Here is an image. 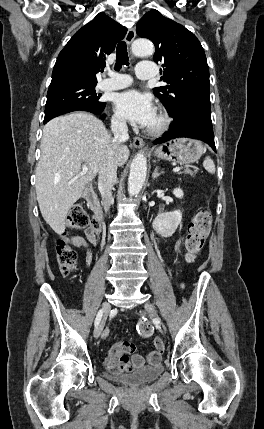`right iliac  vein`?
<instances>
[{
  "instance_id": "obj_1",
  "label": "right iliac vein",
  "mask_w": 264,
  "mask_h": 429,
  "mask_svg": "<svg viewBox=\"0 0 264 429\" xmlns=\"http://www.w3.org/2000/svg\"><path fill=\"white\" fill-rule=\"evenodd\" d=\"M107 304L104 306V305H102V309L104 310V312L105 313H103L101 316H102V319H101V321H100V323L98 324V326L95 328V330H94V337L97 339V338H99L100 337V335H101V333H102V330H103V327H104V323L106 322V320H107V318H108V314H110L111 313V310H110V308H111V306H110V303L109 302H106Z\"/></svg>"
}]
</instances>
